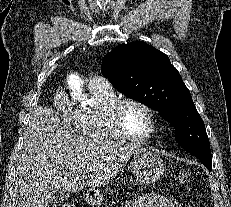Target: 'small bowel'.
Wrapping results in <instances>:
<instances>
[{
  "instance_id": "c3829d8e",
  "label": "small bowel",
  "mask_w": 231,
  "mask_h": 207,
  "mask_svg": "<svg viewBox=\"0 0 231 207\" xmlns=\"http://www.w3.org/2000/svg\"><path fill=\"white\" fill-rule=\"evenodd\" d=\"M126 207H181L176 199L159 195H144L130 201Z\"/></svg>"
}]
</instances>
